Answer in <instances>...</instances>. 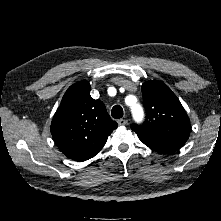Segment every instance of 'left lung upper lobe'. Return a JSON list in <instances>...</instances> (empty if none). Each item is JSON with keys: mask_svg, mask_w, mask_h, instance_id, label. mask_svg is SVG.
Wrapping results in <instances>:
<instances>
[{"mask_svg": "<svg viewBox=\"0 0 221 221\" xmlns=\"http://www.w3.org/2000/svg\"><path fill=\"white\" fill-rule=\"evenodd\" d=\"M146 120L142 125L132 124L137 135H152L163 139L187 141L190 120L176 95L162 82L147 81L142 87Z\"/></svg>", "mask_w": 221, "mask_h": 221, "instance_id": "1", "label": "left lung upper lobe"}]
</instances>
